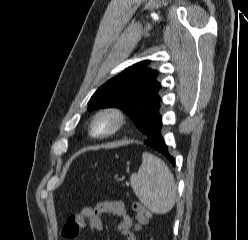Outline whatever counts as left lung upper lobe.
Returning <instances> with one entry per match:
<instances>
[{
  "label": "left lung upper lobe",
  "mask_w": 248,
  "mask_h": 240,
  "mask_svg": "<svg viewBox=\"0 0 248 240\" xmlns=\"http://www.w3.org/2000/svg\"><path fill=\"white\" fill-rule=\"evenodd\" d=\"M136 63L102 85L91 97L88 110L117 107L123 110L145 135L160 109L161 88L157 71Z\"/></svg>",
  "instance_id": "1"
}]
</instances>
